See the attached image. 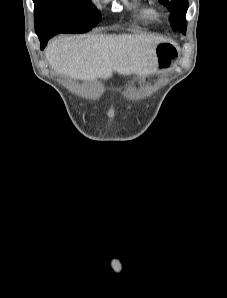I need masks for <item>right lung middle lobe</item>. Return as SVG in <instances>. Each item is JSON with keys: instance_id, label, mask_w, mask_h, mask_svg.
Segmentation results:
<instances>
[{"instance_id": "1", "label": "right lung middle lobe", "mask_w": 227, "mask_h": 298, "mask_svg": "<svg viewBox=\"0 0 227 298\" xmlns=\"http://www.w3.org/2000/svg\"><path fill=\"white\" fill-rule=\"evenodd\" d=\"M100 12L90 0H34V20L37 35L85 33L96 26Z\"/></svg>"}]
</instances>
